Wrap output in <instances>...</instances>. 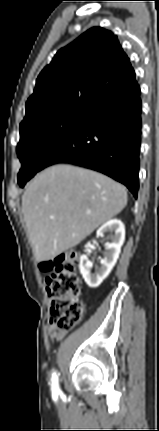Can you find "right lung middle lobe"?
<instances>
[{
	"mask_svg": "<svg viewBox=\"0 0 159 431\" xmlns=\"http://www.w3.org/2000/svg\"><path fill=\"white\" fill-rule=\"evenodd\" d=\"M87 116L78 112H59L20 127L21 138L17 145V155L22 164L18 174L20 187L41 170L49 149Z\"/></svg>",
	"mask_w": 159,
	"mask_h": 431,
	"instance_id": "1",
	"label": "right lung middle lobe"
}]
</instances>
